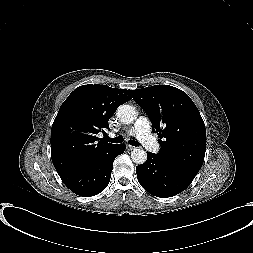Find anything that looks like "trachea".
Listing matches in <instances>:
<instances>
[{"label":"trachea","mask_w":253,"mask_h":253,"mask_svg":"<svg viewBox=\"0 0 253 253\" xmlns=\"http://www.w3.org/2000/svg\"><path fill=\"white\" fill-rule=\"evenodd\" d=\"M106 140H108L111 143H122L123 142V138L120 136L115 137V138L106 137ZM128 143L132 146H139V142L135 141V140H129Z\"/></svg>","instance_id":"3493384b"}]
</instances>
